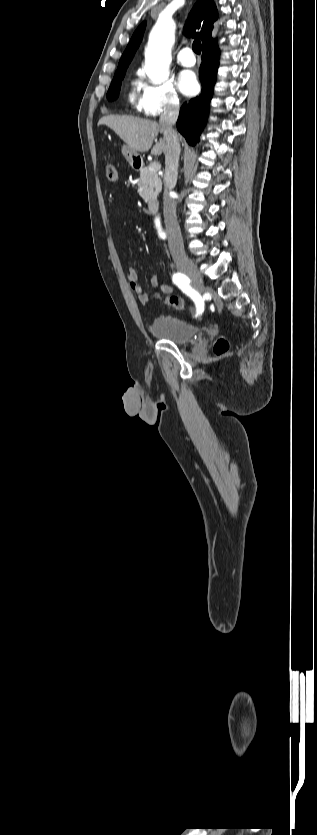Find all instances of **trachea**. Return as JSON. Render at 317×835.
<instances>
[{
    "label": "trachea",
    "instance_id": "obj_1",
    "mask_svg": "<svg viewBox=\"0 0 317 835\" xmlns=\"http://www.w3.org/2000/svg\"><path fill=\"white\" fill-rule=\"evenodd\" d=\"M200 46H201V42H200V40H199V39H195V40H194V42H193V45H192V49H193V51H194L196 54H200V53H201Z\"/></svg>",
    "mask_w": 317,
    "mask_h": 835
}]
</instances>
